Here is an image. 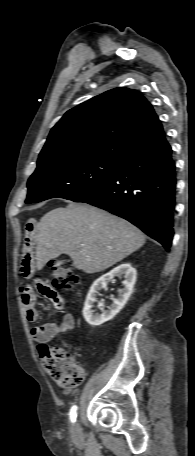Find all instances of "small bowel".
<instances>
[{
    "label": "small bowel",
    "mask_w": 195,
    "mask_h": 456,
    "mask_svg": "<svg viewBox=\"0 0 195 456\" xmlns=\"http://www.w3.org/2000/svg\"><path fill=\"white\" fill-rule=\"evenodd\" d=\"M37 238V224L34 219H29L25 224V239L21 259V273L25 278H29L34 270L33 248ZM37 290L55 304L61 310L63 302L58 294L49 286L47 281L37 279L35 281ZM21 301L25 311V317L29 322L37 320L38 312L36 309V295L31 287L22 290ZM75 327L74 317L67 313L59 321H53L41 326H36L31 330L32 339L43 344L52 340L61 332L71 330Z\"/></svg>",
    "instance_id": "c3829d8e"
}]
</instances>
